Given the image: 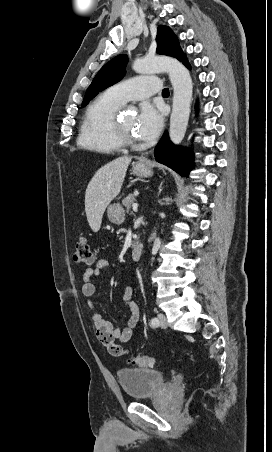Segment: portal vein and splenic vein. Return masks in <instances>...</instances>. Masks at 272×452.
<instances>
[{
  "mask_svg": "<svg viewBox=\"0 0 272 452\" xmlns=\"http://www.w3.org/2000/svg\"><path fill=\"white\" fill-rule=\"evenodd\" d=\"M132 208H133V211H137V209H138V204H137V203H134L133 206H132Z\"/></svg>",
  "mask_w": 272,
  "mask_h": 452,
  "instance_id": "18ae733b",
  "label": "portal vein and splenic vein"
}]
</instances>
